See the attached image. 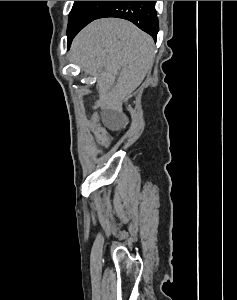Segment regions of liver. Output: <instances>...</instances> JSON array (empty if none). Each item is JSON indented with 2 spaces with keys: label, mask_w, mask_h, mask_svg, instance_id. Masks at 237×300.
<instances>
[{
  "label": "liver",
  "mask_w": 237,
  "mask_h": 300,
  "mask_svg": "<svg viewBox=\"0 0 237 300\" xmlns=\"http://www.w3.org/2000/svg\"><path fill=\"white\" fill-rule=\"evenodd\" d=\"M71 55L83 71L98 73L101 101L119 107L152 69L155 45L150 35L129 21L98 19L78 33Z\"/></svg>",
  "instance_id": "6515ba94"
}]
</instances>
